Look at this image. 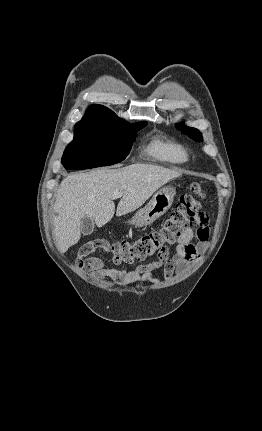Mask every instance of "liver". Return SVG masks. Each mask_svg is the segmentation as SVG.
Returning <instances> with one entry per match:
<instances>
[{"label":"liver","mask_w":262,"mask_h":431,"mask_svg":"<svg viewBox=\"0 0 262 431\" xmlns=\"http://www.w3.org/2000/svg\"><path fill=\"white\" fill-rule=\"evenodd\" d=\"M181 172L158 165L132 164L119 169H98L67 176L60 184L54 205V236L60 253L81 237V220L88 216L98 227L115 213L114 192H123L116 215L141 207L160 187L180 177Z\"/></svg>","instance_id":"6515ba94"}]
</instances>
